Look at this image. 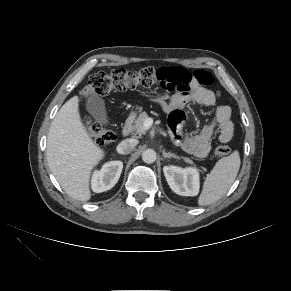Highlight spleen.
<instances>
[{"label": "spleen", "mask_w": 291, "mask_h": 291, "mask_svg": "<svg viewBox=\"0 0 291 291\" xmlns=\"http://www.w3.org/2000/svg\"><path fill=\"white\" fill-rule=\"evenodd\" d=\"M240 164L238 151L218 160L206 176L198 204L200 206L210 205L223 197L234 183Z\"/></svg>", "instance_id": "3e777b00"}]
</instances>
